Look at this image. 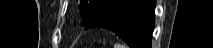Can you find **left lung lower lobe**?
Instances as JSON below:
<instances>
[{"label": "left lung lower lobe", "mask_w": 213, "mask_h": 48, "mask_svg": "<svg viewBox=\"0 0 213 48\" xmlns=\"http://www.w3.org/2000/svg\"><path fill=\"white\" fill-rule=\"evenodd\" d=\"M155 0H110L86 23V29L114 31L131 48H151Z\"/></svg>", "instance_id": "obj_1"}]
</instances>
